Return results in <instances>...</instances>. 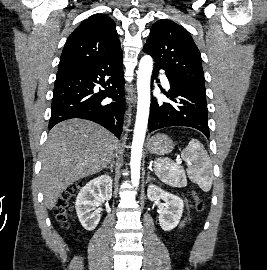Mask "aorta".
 Instances as JSON below:
<instances>
[{
  "mask_svg": "<svg viewBox=\"0 0 267 270\" xmlns=\"http://www.w3.org/2000/svg\"><path fill=\"white\" fill-rule=\"evenodd\" d=\"M153 69V59L150 55L141 58L137 72V115L131 147V181L138 187L140 181V165L142 148L146 135L150 109V79Z\"/></svg>",
  "mask_w": 267,
  "mask_h": 270,
  "instance_id": "aorta-1",
  "label": "aorta"
}]
</instances>
